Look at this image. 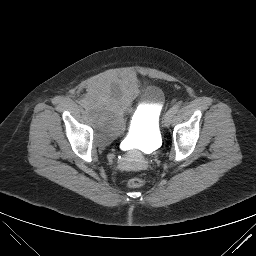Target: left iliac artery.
I'll list each match as a JSON object with an SVG mask.
<instances>
[{"label":"left iliac artery","instance_id":"1","mask_svg":"<svg viewBox=\"0 0 256 256\" xmlns=\"http://www.w3.org/2000/svg\"><path fill=\"white\" fill-rule=\"evenodd\" d=\"M180 106L179 104H175L171 109L170 111L173 113V114H176L177 111L179 110Z\"/></svg>","mask_w":256,"mask_h":256}]
</instances>
